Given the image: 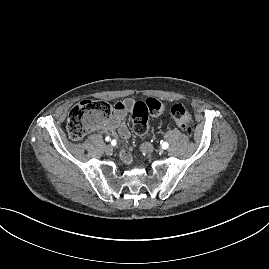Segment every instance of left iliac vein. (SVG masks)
Listing matches in <instances>:
<instances>
[{"mask_svg": "<svg viewBox=\"0 0 269 269\" xmlns=\"http://www.w3.org/2000/svg\"><path fill=\"white\" fill-rule=\"evenodd\" d=\"M143 147L145 148V149H147L148 150V152H152V150H153V148L151 147V145L149 144V143H144L143 144Z\"/></svg>", "mask_w": 269, "mask_h": 269, "instance_id": "left-iliac-vein-1", "label": "left iliac vein"}]
</instances>
